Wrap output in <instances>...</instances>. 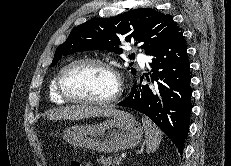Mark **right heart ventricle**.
Returning <instances> with one entry per match:
<instances>
[{"instance_id": "obj_1", "label": "right heart ventricle", "mask_w": 231, "mask_h": 166, "mask_svg": "<svg viewBox=\"0 0 231 166\" xmlns=\"http://www.w3.org/2000/svg\"><path fill=\"white\" fill-rule=\"evenodd\" d=\"M49 97L50 100L57 104L64 103V99H62L56 89V77L51 81L50 87H49Z\"/></svg>"}]
</instances>
